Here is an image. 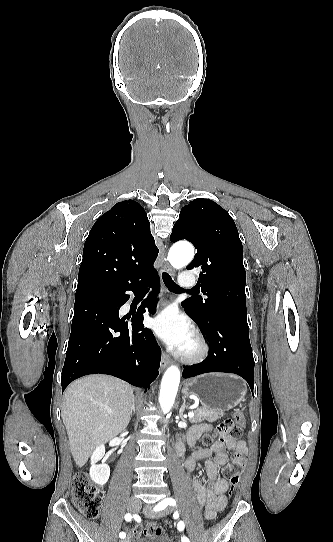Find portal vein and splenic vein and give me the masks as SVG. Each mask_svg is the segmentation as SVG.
I'll list each match as a JSON object with an SVG mask.
<instances>
[{
  "label": "portal vein and splenic vein",
  "instance_id": "obj_1",
  "mask_svg": "<svg viewBox=\"0 0 333 542\" xmlns=\"http://www.w3.org/2000/svg\"><path fill=\"white\" fill-rule=\"evenodd\" d=\"M188 418H194V412H189Z\"/></svg>",
  "mask_w": 333,
  "mask_h": 542
}]
</instances>
